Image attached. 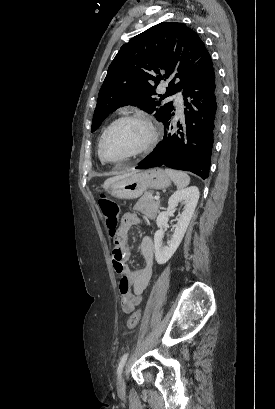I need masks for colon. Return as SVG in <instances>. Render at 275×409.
I'll return each instance as SVG.
<instances>
[{
  "label": "colon",
  "instance_id": "5ec220e1",
  "mask_svg": "<svg viewBox=\"0 0 275 409\" xmlns=\"http://www.w3.org/2000/svg\"><path fill=\"white\" fill-rule=\"evenodd\" d=\"M98 204L102 215L105 218L106 227L111 239H114L118 229L119 206L112 198L107 195H102L98 199ZM141 318V311L135 310L131 313L127 320L128 329H134Z\"/></svg>",
  "mask_w": 275,
  "mask_h": 409
}]
</instances>
